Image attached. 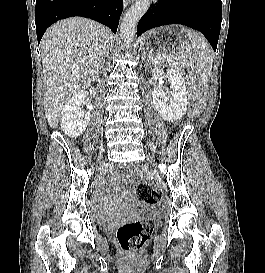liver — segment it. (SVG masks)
Segmentation results:
<instances>
[{
    "instance_id": "liver-1",
    "label": "liver",
    "mask_w": 265,
    "mask_h": 273,
    "mask_svg": "<svg viewBox=\"0 0 265 273\" xmlns=\"http://www.w3.org/2000/svg\"><path fill=\"white\" fill-rule=\"evenodd\" d=\"M109 35L93 20L73 17L52 25L41 41L44 73V109L52 128L73 95L99 74Z\"/></svg>"
}]
</instances>
